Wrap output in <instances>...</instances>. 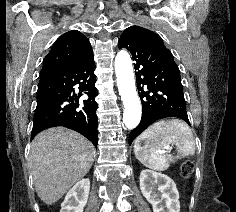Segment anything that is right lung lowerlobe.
Wrapping results in <instances>:
<instances>
[{
    "label": "right lung lower lobe",
    "mask_w": 236,
    "mask_h": 212,
    "mask_svg": "<svg viewBox=\"0 0 236 212\" xmlns=\"http://www.w3.org/2000/svg\"><path fill=\"white\" fill-rule=\"evenodd\" d=\"M94 70L91 48L69 65L41 72L31 139L50 127L65 126L97 146L98 105L95 97L98 92ZM77 86L78 94L74 90ZM82 92L88 95V99L79 102Z\"/></svg>",
    "instance_id": "1"
}]
</instances>
